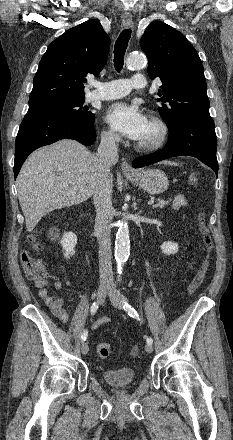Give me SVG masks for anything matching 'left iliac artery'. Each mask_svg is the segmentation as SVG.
Instances as JSON below:
<instances>
[{
  "mask_svg": "<svg viewBox=\"0 0 233 440\" xmlns=\"http://www.w3.org/2000/svg\"><path fill=\"white\" fill-rule=\"evenodd\" d=\"M123 309L128 313L129 316L133 317V318H137L138 320H140L138 313L136 312V310L131 307V305H129L126 301H124V305H123ZM147 343L148 344H152L153 340L151 337L147 338Z\"/></svg>",
  "mask_w": 233,
  "mask_h": 440,
  "instance_id": "44dca946",
  "label": "left iliac artery"
}]
</instances>
